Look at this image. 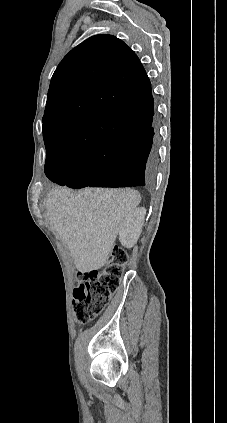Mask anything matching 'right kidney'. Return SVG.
Instances as JSON below:
<instances>
[{
	"instance_id": "right-kidney-1",
	"label": "right kidney",
	"mask_w": 227,
	"mask_h": 423,
	"mask_svg": "<svg viewBox=\"0 0 227 423\" xmlns=\"http://www.w3.org/2000/svg\"><path fill=\"white\" fill-rule=\"evenodd\" d=\"M145 208H135L128 213L119 229L120 243L124 247H133L137 243L145 221Z\"/></svg>"
}]
</instances>
